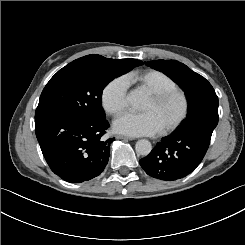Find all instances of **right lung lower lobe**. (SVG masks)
I'll list each match as a JSON object with an SVG mask.
<instances>
[{
    "label": "right lung lower lobe",
    "instance_id": "obj_1",
    "mask_svg": "<svg viewBox=\"0 0 245 245\" xmlns=\"http://www.w3.org/2000/svg\"><path fill=\"white\" fill-rule=\"evenodd\" d=\"M106 119L90 121L70 115L35 119V132L51 170L69 183H81L101 174L109 160L114 138L102 136Z\"/></svg>",
    "mask_w": 245,
    "mask_h": 245
}]
</instances>
